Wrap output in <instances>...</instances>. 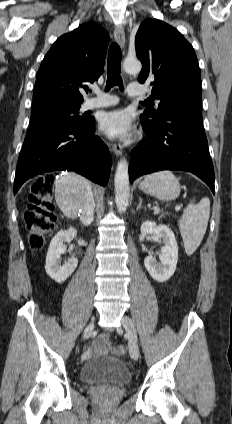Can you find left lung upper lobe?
<instances>
[{
    "label": "left lung upper lobe",
    "instance_id": "obj_1",
    "mask_svg": "<svg viewBox=\"0 0 232 424\" xmlns=\"http://www.w3.org/2000/svg\"><path fill=\"white\" fill-rule=\"evenodd\" d=\"M135 48L143 65L139 82L152 79V95L161 100L157 110L147 109L141 116L158 122L172 108L202 107L197 57L178 30L160 20L146 19L137 31Z\"/></svg>",
    "mask_w": 232,
    "mask_h": 424
}]
</instances>
